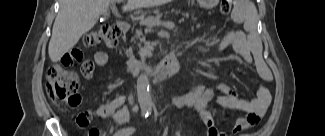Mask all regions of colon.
Instances as JSON below:
<instances>
[{
	"label": "colon",
	"mask_w": 325,
	"mask_h": 136,
	"mask_svg": "<svg viewBox=\"0 0 325 136\" xmlns=\"http://www.w3.org/2000/svg\"><path fill=\"white\" fill-rule=\"evenodd\" d=\"M233 0H222L220 13L223 16L229 14ZM119 37V29L115 26L104 25L90 32L84 39L87 46H103L113 48ZM47 91L50 98L57 103H66L74 106L79 103L77 95L79 79L73 72L67 71L61 64L51 65L46 73ZM87 136H100L96 129L88 132Z\"/></svg>",
	"instance_id": "colon-1"
}]
</instances>
